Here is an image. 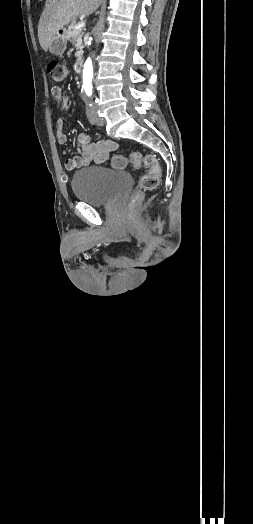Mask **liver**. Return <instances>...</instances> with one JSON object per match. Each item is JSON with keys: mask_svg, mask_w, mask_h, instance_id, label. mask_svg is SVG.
<instances>
[{"mask_svg": "<svg viewBox=\"0 0 253 524\" xmlns=\"http://www.w3.org/2000/svg\"><path fill=\"white\" fill-rule=\"evenodd\" d=\"M101 2L102 0H46L38 24V39L42 49L48 50L58 30L79 15L87 17L93 14Z\"/></svg>", "mask_w": 253, "mask_h": 524, "instance_id": "liver-1", "label": "liver"}]
</instances>
